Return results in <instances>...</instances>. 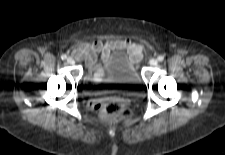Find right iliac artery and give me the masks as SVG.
<instances>
[{"mask_svg":"<svg viewBox=\"0 0 225 155\" xmlns=\"http://www.w3.org/2000/svg\"><path fill=\"white\" fill-rule=\"evenodd\" d=\"M66 58H67V56H66L65 54H62V55H61V59H62V60H65Z\"/></svg>","mask_w":225,"mask_h":155,"instance_id":"obj_1","label":"right iliac artery"}]
</instances>
